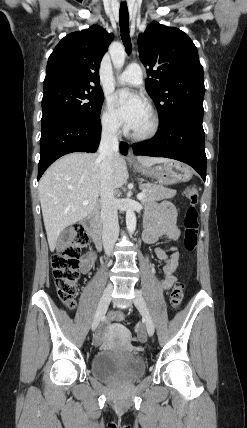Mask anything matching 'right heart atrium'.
I'll use <instances>...</instances> for the list:
<instances>
[{"instance_id":"obj_1","label":"right heart atrium","mask_w":247,"mask_h":428,"mask_svg":"<svg viewBox=\"0 0 247 428\" xmlns=\"http://www.w3.org/2000/svg\"><path fill=\"white\" fill-rule=\"evenodd\" d=\"M101 126L104 132L109 135H118L121 131V123L109 100L104 104L101 112Z\"/></svg>"}]
</instances>
